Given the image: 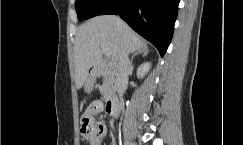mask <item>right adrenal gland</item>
Instances as JSON below:
<instances>
[{
	"mask_svg": "<svg viewBox=\"0 0 243 145\" xmlns=\"http://www.w3.org/2000/svg\"><path fill=\"white\" fill-rule=\"evenodd\" d=\"M137 55H142L143 57L148 55V49L144 48L142 50L137 51L136 53L133 54L132 58H131V63H133V59L137 56Z\"/></svg>",
	"mask_w": 243,
	"mask_h": 145,
	"instance_id": "right-adrenal-gland-1",
	"label": "right adrenal gland"
}]
</instances>
